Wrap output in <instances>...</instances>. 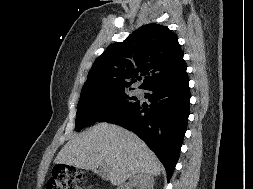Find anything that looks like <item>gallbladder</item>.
Masks as SVG:
<instances>
[{
    "mask_svg": "<svg viewBox=\"0 0 253 189\" xmlns=\"http://www.w3.org/2000/svg\"><path fill=\"white\" fill-rule=\"evenodd\" d=\"M97 173H98V174H102V171H101V170H99V171H97Z\"/></svg>",
    "mask_w": 253,
    "mask_h": 189,
    "instance_id": "obj_1",
    "label": "gallbladder"
}]
</instances>
